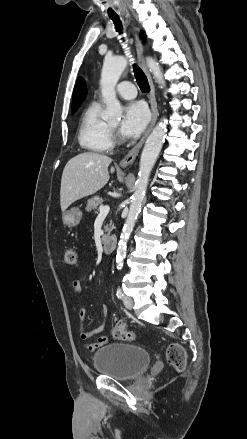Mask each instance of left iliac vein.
Returning a JSON list of instances; mask_svg holds the SVG:
<instances>
[{"label":"left iliac vein","instance_id":"obj_1","mask_svg":"<svg viewBox=\"0 0 247 439\" xmlns=\"http://www.w3.org/2000/svg\"><path fill=\"white\" fill-rule=\"evenodd\" d=\"M123 303L125 305V307L129 310H131L133 308V300L131 297L129 296H124L123 297Z\"/></svg>","mask_w":247,"mask_h":439}]
</instances>
